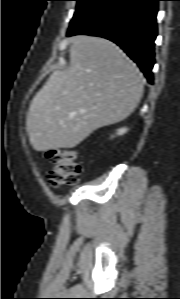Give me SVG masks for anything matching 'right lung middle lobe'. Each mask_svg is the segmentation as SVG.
<instances>
[{
    "label": "right lung middle lobe",
    "mask_w": 180,
    "mask_h": 299,
    "mask_svg": "<svg viewBox=\"0 0 180 299\" xmlns=\"http://www.w3.org/2000/svg\"><path fill=\"white\" fill-rule=\"evenodd\" d=\"M77 1L75 14L70 22V26L74 25L77 21L88 15L104 0H75Z\"/></svg>",
    "instance_id": "1"
}]
</instances>
